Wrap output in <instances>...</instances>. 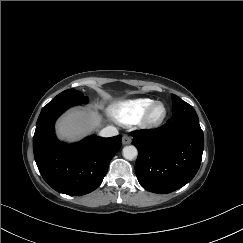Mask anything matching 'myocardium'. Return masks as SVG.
<instances>
[{
    "instance_id": "1",
    "label": "myocardium",
    "mask_w": 243,
    "mask_h": 243,
    "mask_svg": "<svg viewBox=\"0 0 243 243\" xmlns=\"http://www.w3.org/2000/svg\"><path fill=\"white\" fill-rule=\"evenodd\" d=\"M163 107V113L159 118H153V112L157 107ZM168 114V109L165 103L161 101L154 102L144 113L142 116L141 123L146 128H155L160 126L166 119Z\"/></svg>"
}]
</instances>
